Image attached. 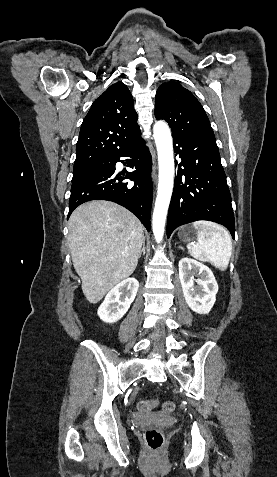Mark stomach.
Wrapping results in <instances>:
<instances>
[{
    "mask_svg": "<svg viewBox=\"0 0 277 477\" xmlns=\"http://www.w3.org/2000/svg\"><path fill=\"white\" fill-rule=\"evenodd\" d=\"M197 232L193 229L192 226H185L179 230L178 236L180 240L184 242L193 241L196 237Z\"/></svg>",
    "mask_w": 277,
    "mask_h": 477,
    "instance_id": "1",
    "label": "stomach"
}]
</instances>
